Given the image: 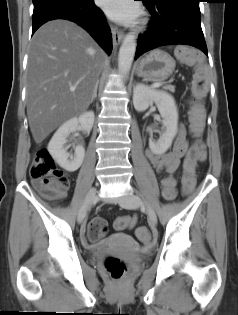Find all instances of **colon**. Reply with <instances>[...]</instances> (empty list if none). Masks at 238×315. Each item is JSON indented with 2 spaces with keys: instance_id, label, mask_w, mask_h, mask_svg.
<instances>
[{
  "instance_id": "1",
  "label": "colon",
  "mask_w": 238,
  "mask_h": 315,
  "mask_svg": "<svg viewBox=\"0 0 238 315\" xmlns=\"http://www.w3.org/2000/svg\"><path fill=\"white\" fill-rule=\"evenodd\" d=\"M176 56L181 61L196 67L189 120L191 133L193 136L199 137L202 134L205 121L202 98L207 90L206 69L202 65L200 55L192 49L179 47L176 49ZM29 172L36 188L49 198H59L69 188L67 176L57 168L51 154L45 148H39L35 151ZM182 186L184 192L188 193L194 186V180L183 179ZM114 226L118 230H124L129 226V219L127 217H119L115 220ZM106 231L107 223L102 218H94L89 223L88 235L91 239L101 238ZM137 235L144 241L150 239V233L146 227L139 228ZM104 266L110 276L116 280L121 279L127 273L125 263L115 257H108L104 262Z\"/></svg>"
}]
</instances>
